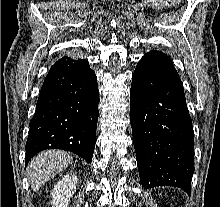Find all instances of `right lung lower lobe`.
<instances>
[{"label":"right lung lower lobe","instance_id":"98d812e1","mask_svg":"<svg viewBox=\"0 0 220 207\" xmlns=\"http://www.w3.org/2000/svg\"><path fill=\"white\" fill-rule=\"evenodd\" d=\"M98 102L97 78L88 61L59 59L44 80L29 124L26 163L45 149H64L91 163Z\"/></svg>","mask_w":220,"mask_h":207}]
</instances>
